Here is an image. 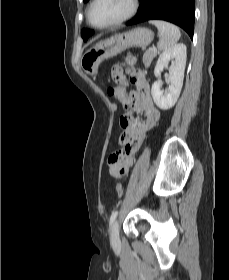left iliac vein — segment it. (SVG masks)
Masks as SVG:
<instances>
[{"label": "left iliac vein", "mask_w": 229, "mask_h": 280, "mask_svg": "<svg viewBox=\"0 0 229 280\" xmlns=\"http://www.w3.org/2000/svg\"><path fill=\"white\" fill-rule=\"evenodd\" d=\"M119 242L118 236V222L115 221L111 227V243L117 244Z\"/></svg>", "instance_id": "left-iliac-vein-1"}]
</instances>
